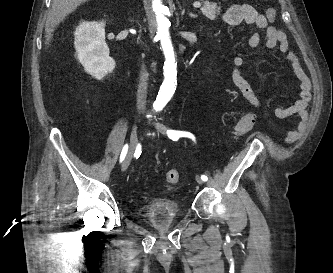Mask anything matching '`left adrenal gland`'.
Wrapping results in <instances>:
<instances>
[{
	"instance_id": "obj_1",
	"label": "left adrenal gland",
	"mask_w": 333,
	"mask_h": 273,
	"mask_svg": "<svg viewBox=\"0 0 333 273\" xmlns=\"http://www.w3.org/2000/svg\"><path fill=\"white\" fill-rule=\"evenodd\" d=\"M189 16L192 17V18H196L197 17V15H194L192 13H190Z\"/></svg>"
}]
</instances>
